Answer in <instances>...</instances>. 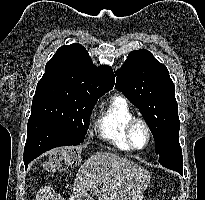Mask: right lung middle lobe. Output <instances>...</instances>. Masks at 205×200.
<instances>
[{"instance_id":"obj_1","label":"right lung middle lobe","mask_w":205,"mask_h":200,"mask_svg":"<svg viewBox=\"0 0 205 200\" xmlns=\"http://www.w3.org/2000/svg\"><path fill=\"white\" fill-rule=\"evenodd\" d=\"M98 98L81 88L57 81H39L31 116L46 119L82 143Z\"/></svg>"}]
</instances>
